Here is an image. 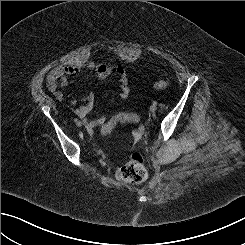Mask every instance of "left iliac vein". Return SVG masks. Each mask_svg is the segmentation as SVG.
<instances>
[{"label":"left iliac vein","mask_w":245,"mask_h":245,"mask_svg":"<svg viewBox=\"0 0 245 245\" xmlns=\"http://www.w3.org/2000/svg\"><path fill=\"white\" fill-rule=\"evenodd\" d=\"M157 110V106L156 105H151L150 106V111L151 112H155Z\"/></svg>","instance_id":"left-iliac-vein-1"}]
</instances>
